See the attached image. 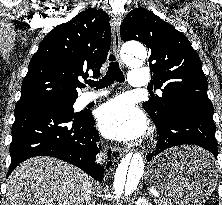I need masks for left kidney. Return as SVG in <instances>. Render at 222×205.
Masks as SVG:
<instances>
[{
  "instance_id": "5707ae66",
  "label": "left kidney",
  "mask_w": 222,
  "mask_h": 205,
  "mask_svg": "<svg viewBox=\"0 0 222 205\" xmlns=\"http://www.w3.org/2000/svg\"><path fill=\"white\" fill-rule=\"evenodd\" d=\"M136 205H152V204L148 202V200H146L145 198H139L136 201Z\"/></svg>"
}]
</instances>
